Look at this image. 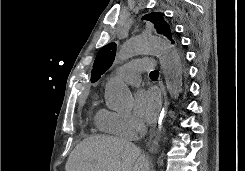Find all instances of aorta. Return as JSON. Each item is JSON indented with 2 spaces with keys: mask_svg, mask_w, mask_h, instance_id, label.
Masks as SVG:
<instances>
[{
  "mask_svg": "<svg viewBox=\"0 0 245 171\" xmlns=\"http://www.w3.org/2000/svg\"><path fill=\"white\" fill-rule=\"evenodd\" d=\"M144 53H153L158 56L167 88L171 96L176 98L182 86V67H177V62H181L178 53L166 40L141 35L124 42L119 59L125 61ZM104 96L109 109L129 111L132 108L133 95L123 82L117 80L110 81L105 87Z\"/></svg>",
  "mask_w": 245,
  "mask_h": 171,
  "instance_id": "aorta-1",
  "label": "aorta"
}]
</instances>
